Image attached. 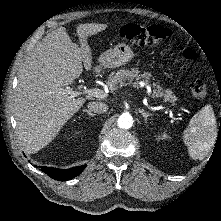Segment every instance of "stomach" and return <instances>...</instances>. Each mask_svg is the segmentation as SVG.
Wrapping results in <instances>:
<instances>
[{
	"label": "stomach",
	"mask_w": 221,
	"mask_h": 221,
	"mask_svg": "<svg viewBox=\"0 0 221 221\" xmlns=\"http://www.w3.org/2000/svg\"><path fill=\"white\" fill-rule=\"evenodd\" d=\"M134 57V53L129 45L119 43L113 49H109L99 56V66L96 71L99 72L101 68H116L125 65Z\"/></svg>",
	"instance_id": "stomach-1"
}]
</instances>
